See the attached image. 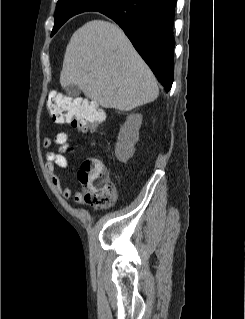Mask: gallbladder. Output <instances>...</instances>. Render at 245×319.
Masks as SVG:
<instances>
[{
    "mask_svg": "<svg viewBox=\"0 0 245 319\" xmlns=\"http://www.w3.org/2000/svg\"><path fill=\"white\" fill-rule=\"evenodd\" d=\"M65 92L72 97H77L80 95L81 89L76 85H68L65 87Z\"/></svg>",
    "mask_w": 245,
    "mask_h": 319,
    "instance_id": "1",
    "label": "gallbladder"
}]
</instances>
